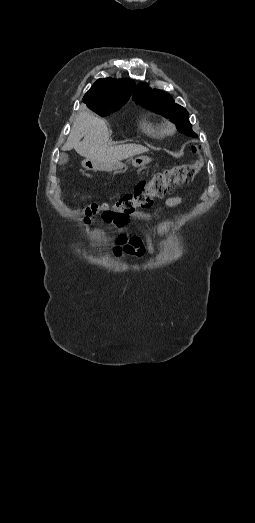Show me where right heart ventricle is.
I'll return each mask as SVG.
<instances>
[{
    "label": "right heart ventricle",
    "mask_w": 255,
    "mask_h": 523,
    "mask_svg": "<svg viewBox=\"0 0 255 523\" xmlns=\"http://www.w3.org/2000/svg\"><path fill=\"white\" fill-rule=\"evenodd\" d=\"M143 129L144 131L149 134V135H160L162 134V128L155 122L151 121V120H146L144 123H143Z\"/></svg>",
    "instance_id": "1"
}]
</instances>
